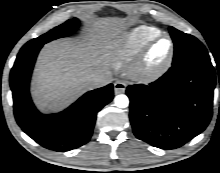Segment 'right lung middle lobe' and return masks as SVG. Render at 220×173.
<instances>
[{"label": "right lung middle lobe", "instance_id": "1", "mask_svg": "<svg viewBox=\"0 0 220 173\" xmlns=\"http://www.w3.org/2000/svg\"><path fill=\"white\" fill-rule=\"evenodd\" d=\"M78 26H79L78 19L75 18L68 20L62 25L57 26L54 29L50 30L49 32L41 35L40 37L30 40L22 47V49L43 45L51 40L60 37L69 36L78 28Z\"/></svg>", "mask_w": 220, "mask_h": 173}]
</instances>
